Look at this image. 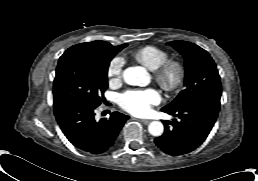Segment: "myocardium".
Masks as SVG:
<instances>
[{
    "label": "myocardium",
    "mask_w": 258,
    "mask_h": 181,
    "mask_svg": "<svg viewBox=\"0 0 258 181\" xmlns=\"http://www.w3.org/2000/svg\"><path fill=\"white\" fill-rule=\"evenodd\" d=\"M185 67L177 60H168L153 70L156 82L168 92L178 90L185 80Z\"/></svg>",
    "instance_id": "f54148a6"
}]
</instances>
